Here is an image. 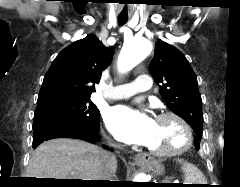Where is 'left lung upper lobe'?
I'll return each mask as SVG.
<instances>
[{"label":"left lung upper lobe","instance_id":"5c2ea615","mask_svg":"<svg viewBox=\"0 0 240 187\" xmlns=\"http://www.w3.org/2000/svg\"><path fill=\"white\" fill-rule=\"evenodd\" d=\"M149 71L155 82L160 84V94L170 110L194 129L195 146L199 150L203 124L202 99L197 77L189 62L177 48L158 40Z\"/></svg>","mask_w":240,"mask_h":187}]
</instances>
